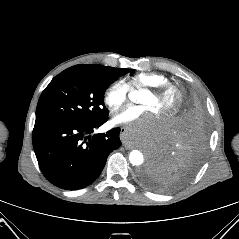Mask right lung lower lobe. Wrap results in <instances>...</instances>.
<instances>
[{
  "mask_svg": "<svg viewBox=\"0 0 239 239\" xmlns=\"http://www.w3.org/2000/svg\"><path fill=\"white\" fill-rule=\"evenodd\" d=\"M108 116L91 123L60 120L36 121L33 148L39 167L48 181L67 190L84 188L94 182L108 155L121 145L120 128L90 133Z\"/></svg>",
  "mask_w": 239,
  "mask_h": 239,
  "instance_id": "1",
  "label": "right lung lower lobe"
}]
</instances>
